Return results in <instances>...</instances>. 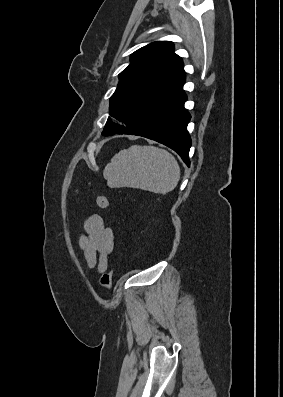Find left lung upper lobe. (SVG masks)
Instances as JSON below:
<instances>
[{"label":"left lung upper lobe","mask_w":283,"mask_h":397,"mask_svg":"<svg viewBox=\"0 0 283 397\" xmlns=\"http://www.w3.org/2000/svg\"><path fill=\"white\" fill-rule=\"evenodd\" d=\"M185 71L182 59L170 41L152 42L130 57V64L119 74L118 87L110 98V118L103 135H113L130 125L158 102L182 89Z\"/></svg>","instance_id":"obj_1"}]
</instances>
